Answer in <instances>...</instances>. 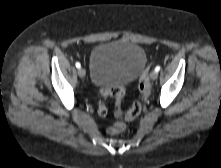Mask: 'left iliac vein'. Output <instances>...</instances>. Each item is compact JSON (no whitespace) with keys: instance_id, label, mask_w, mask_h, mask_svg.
I'll return each instance as SVG.
<instances>
[{"instance_id":"1","label":"left iliac vein","mask_w":221,"mask_h":168,"mask_svg":"<svg viewBox=\"0 0 221 168\" xmlns=\"http://www.w3.org/2000/svg\"><path fill=\"white\" fill-rule=\"evenodd\" d=\"M157 77H158V72L155 71V70H153V71L151 72V74H150V78H151L152 80H156Z\"/></svg>"}]
</instances>
